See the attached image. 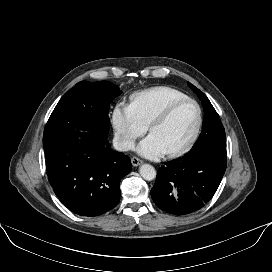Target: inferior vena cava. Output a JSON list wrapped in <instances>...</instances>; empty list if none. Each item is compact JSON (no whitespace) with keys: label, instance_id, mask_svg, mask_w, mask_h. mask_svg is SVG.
I'll return each instance as SVG.
<instances>
[{"label":"inferior vena cava","instance_id":"1","mask_svg":"<svg viewBox=\"0 0 272 272\" xmlns=\"http://www.w3.org/2000/svg\"><path fill=\"white\" fill-rule=\"evenodd\" d=\"M113 147L117 151H128V150L133 149L134 144L130 140H127V139L120 137V136H116L113 139Z\"/></svg>","mask_w":272,"mask_h":272}]
</instances>
